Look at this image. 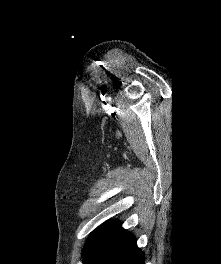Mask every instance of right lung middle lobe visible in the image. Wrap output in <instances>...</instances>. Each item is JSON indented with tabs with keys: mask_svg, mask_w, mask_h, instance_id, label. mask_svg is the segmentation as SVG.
<instances>
[{
	"mask_svg": "<svg viewBox=\"0 0 221 264\" xmlns=\"http://www.w3.org/2000/svg\"><path fill=\"white\" fill-rule=\"evenodd\" d=\"M95 233L96 232H93L91 235H90V237L88 238V240H87V242H86V245H85V247H84V250L87 248V246L89 245V243H90V241H91V239L93 238V236L95 235Z\"/></svg>",
	"mask_w": 221,
	"mask_h": 264,
	"instance_id": "1",
	"label": "right lung middle lobe"
}]
</instances>
